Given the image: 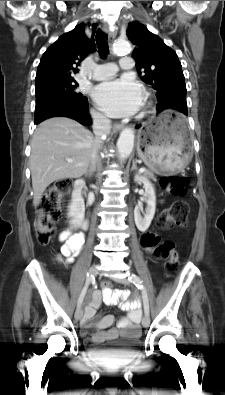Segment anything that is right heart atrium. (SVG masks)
Instances as JSON below:
<instances>
[{
    "label": "right heart atrium",
    "mask_w": 225,
    "mask_h": 395,
    "mask_svg": "<svg viewBox=\"0 0 225 395\" xmlns=\"http://www.w3.org/2000/svg\"><path fill=\"white\" fill-rule=\"evenodd\" d=\"M92 115H93L94 118H96L98 120H102L103 119V116L99 112H97L96 110H92Z\"/></svg>",
    "instance_id": "1"
}]
</instances>
